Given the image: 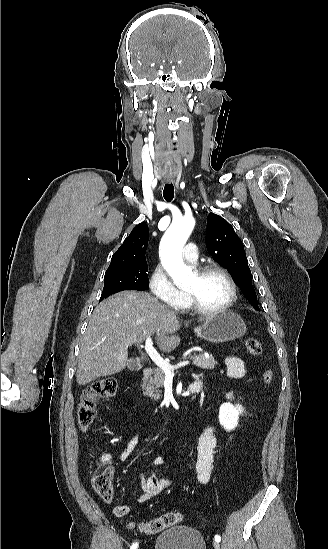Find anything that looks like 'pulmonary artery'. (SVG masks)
<instances>
[{"label": "pulmonary artery", "mask_w": 328, "mask_h": 549, "mask_svg": "<svg viewBox=\"0 0 328 549\" xmlns=\"http://www.w3.org/2000/svg\"><path fill=\"white\" fill-rule=\"evenodd\" d=\"M200 253V247L196 246L193 242H190L187 246V250L183 252V257L187 262H195L200 256Z\"/></svg>", "instance_id": "pulmonary-artery-1"}]
</instances>
